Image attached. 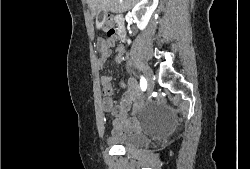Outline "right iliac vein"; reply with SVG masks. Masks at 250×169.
Masks as SVG:
<instances>
[{
    "label": "right iliac vein",
    "mask_w": 250,
    "mask_h": 169,
    "mask_svg": "<svg viewBox=\"0 0 250 169\" xmlns=\"http://www.w3.org/2000/svg\"><path fill=\"white\" fill-rule=\"evenodd\" d=\"M142 70H143L145 78L148 82V88L150 91H152L153 90V74L149 70V68L145 65H142Z\"/></svg>",
    "instance_id": "right-iliac-vein-1"
}]
</instances>
